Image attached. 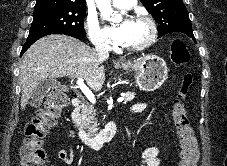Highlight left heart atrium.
<instances>
[{
  "label": "left heart atrium",
  "mask_w": 227,
  "mask_h": 166,
  "mask_svg": "<svg viewBox=\"0 0 227 166\" xmlns=\"http://www.w3.org/2000/svg\"><path fill=\"white\" fill-rule=\"evenodd\" d=\"M129 29L130 21L125 20L118 25L108 27L107 32L113 41L117 43H122L127 40Z\"/></svg>",
  "instance_id": "obj_1"
}]
</instances>
